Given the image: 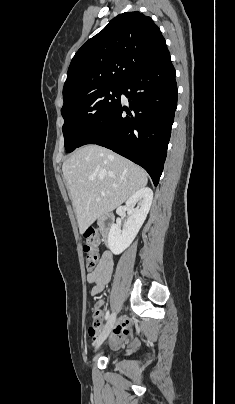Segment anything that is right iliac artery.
<instances>
[{
    "mask_svg": "<svg viewBox=\"0 0 235 404\" xmlns=\"http://www.w3.org/2000/svg\"><path fill=\"white\" fill-rule=\"evenodd\" d=\"M112 315H113V314H112ZM112 315H110V312L107 311V312H106V316H105V320H109V319L112 317Z\"/></svg>",
    "mask_w": 235,
    "mask_h": 404,
    "instance_id": "1",
    "label": "right iliac artery"
}]
</instances>
